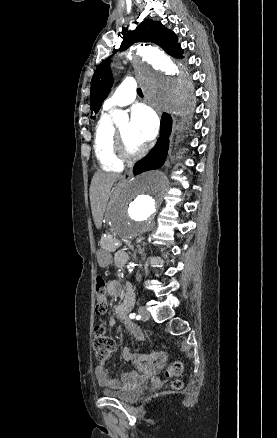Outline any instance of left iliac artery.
Listing matches in <instances>:
<instances>
[{
  "instance_id": "44dca946",
  "label": "left iliac artery",
  "mask_w": 277,
  "mask_h": 438,
  "mask_svg": "<svg viewBox=\"0 0 277 438\" xmlns=\"http://www.w3.org/2000/svg\"><path fill=\"white\" fill-rule=\"evenodd\" d=\"M129 317L131 318V319H133V318H137V319H139V318H141L140 316H136V314L135 313H131L130 315H129Z\"/></svg>"
}]
</instances>
